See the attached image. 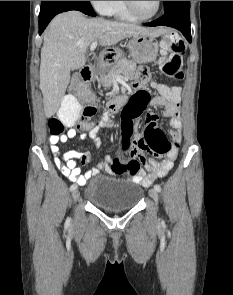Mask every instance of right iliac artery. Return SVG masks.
I'll return each instance as SVG.
<instances>
[{"label":"right iliac artery","mask_w":233,"mask_h":295,"mask_svg":"<svg viewBox=\"0 0 233 295\" xmlns=\"http://www.w3.org/2000/svg\"><path fill=\"white\" fill-rule=\"evenodd\" d=\"M76 188H77V185L76 184H72L70 186V191H74Z\"/></svg>","instance_id":"obj_1"}]
</instances>
